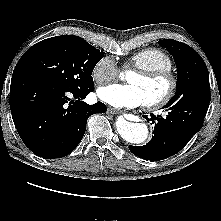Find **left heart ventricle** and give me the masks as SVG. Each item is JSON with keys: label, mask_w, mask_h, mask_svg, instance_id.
<instances>
[{"label": "left heart ventricle", "mask_w": 221, "mask_h": 221, "mask_svg": "<svg viewBox=\"0 0 221 221\" xmlns=\"http://www.w3.org/2000/svg\"><path fill=\"white\" fill-rule=\"evenodd\" d=\"M130 84L140 88L143 93L145 103L152 102L162 97L167 89L168 82L165 79H147L136 73H130L127 77Z\"/></svg>", "instance_id": "1"}]
</instances>
